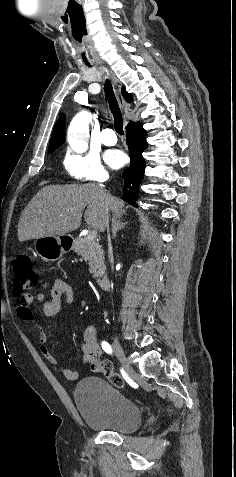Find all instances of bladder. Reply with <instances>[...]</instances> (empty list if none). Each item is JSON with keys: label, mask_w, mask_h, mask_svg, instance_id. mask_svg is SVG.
Wrapping results in <instances>:
<instances>
[{"label": "bladder", "mask_w": 236, "mask_h": 477, "mask_svg": "<svg viewBox=\"0 0 236 477\" xmlns=\"http://www.w3.org/2000/svg\"><path fill=\"white\" fill-rule=\"evenodd\" d=\"M74 398L82 419L92 428L128 434L142 425L139 405L103 378L80 380Z\"/></svg>", "instance_id": "31cf9c89"}]
</instances>
